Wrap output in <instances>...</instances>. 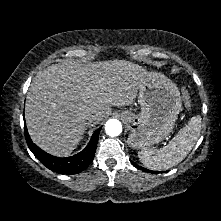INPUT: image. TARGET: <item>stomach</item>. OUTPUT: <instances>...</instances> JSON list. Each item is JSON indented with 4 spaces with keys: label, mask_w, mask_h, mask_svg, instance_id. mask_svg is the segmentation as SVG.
<instances>
[{
    "label": "stomach",
    "mask_w": 221,
    "mask_h": 221,
    "mask_svg": "<svg viewBox=\"0 0 221 221\" xmlns=\"http://www.w3.org/2000/svg\"><path fill=\"white\" fill-rule=\"evenodd\" d=\"M141 112L121 113L130 135L128 144L139 149L162 141L174 128L182 101L177 86L161 73H147L138 89Z\"/></svg>",
    "instance_id": "obj_1"
}]
</instances>
